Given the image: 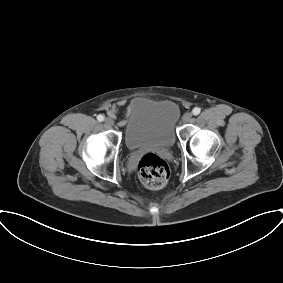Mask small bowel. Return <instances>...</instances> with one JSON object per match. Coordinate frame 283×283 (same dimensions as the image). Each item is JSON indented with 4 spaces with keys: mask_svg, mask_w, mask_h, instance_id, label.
<instances>
[{
    "mask_svg": "<svg viewBox=\"0 0 283 283\" xmlns=\"http://www.w3.org/2000/svg\"><path fill=\"white\" fill-rule=\"evenodd\" d=\"M133 103H134V102H133ZM133 103L130 104V106H129L128 109L131 108V106H132ZM124 105H125V102H124V101H119L116 105H113V106L109 107V109H108V111H107L109 117H111V118H116L117 112H118V107H122V106H124ZM118 124H119L120 126H124V125L126 124V120H125L124 118H122V119H120V120L118 121Z\"/></svg>",
    "mask_w": 283,
    "mask_h": 283,
    "instance_id": "c3829d8e",
    "label": "small bowel"
}]
</instances>
